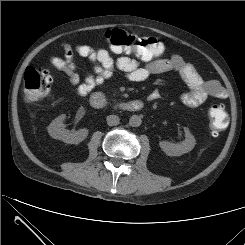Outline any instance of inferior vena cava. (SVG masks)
<instances>
[{
  "label": "inferior vena cava",
  "mask_w": 245,
  "mask_h": 245,
  "mask_svg": "<svg viewBox=\"0 0 245 245\" xmlns=\"http://www.w3.org/2000/svg\"><path fill=\"white\" fill-rule=\"evenodd\" d=\"M106 121L109 126H114L119 123L120 119L117 115H109L107 116Z\"/></svg>",
  "instance_id": "inferior-vena-cava-1"
}]
</instances>
